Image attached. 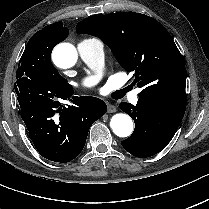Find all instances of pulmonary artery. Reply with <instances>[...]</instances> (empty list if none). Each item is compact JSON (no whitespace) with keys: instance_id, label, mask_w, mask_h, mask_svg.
I'll return each mask as SVG.
<instances>
[{"instance_id":"obj_1","label":"pulmonary artery","mask_w":209,"mask_h":209,"mask_svg":"<svg viewBox=\"0 0 209 209\" xmlns=\"http://www.w3.org/2000/svg\"><path fill=\"white\" fill-rule=\"evenodd\" d=\"M77 50L80 59L94 72L92 76L86 79L85 84L97 83L102 78L104 66L103 43L94 38L84 39L77 44ZM139 92V88L126 92L127 99L133 104H138L140 102Z\"/></svg>"}]
</instances>
